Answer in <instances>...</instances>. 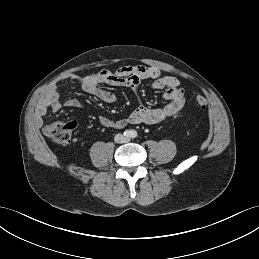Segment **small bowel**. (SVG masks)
I'll list each match as a JSON object with an SVG mask.
<instances>
[{"instance_id":"1","label":"small bowel","mask_w":259,"mask_h":259,"mask_svg":"<svg viewBox=\"0 0 259 259\" xmlns=\"http://www.w3.org/2000/svg\"><path fill=\"white\" fill-rule=\"evenodd\" d=\"M67 79L77 81L83 91L105 103L115 102L116 95L112 91L102 88V84L129 87L133 90L138 102L134 110L128 116L116 121L100 116L99 123L103 127L122 129L128 124L156 125L177 114L185 104V93L178 79L173 76L162 75L160 70L153 66L126 65L115 71L103 69L84 76L70 74L64 78V80ZM145 79L152 81L153 89L163 91V96L168 100V104L161 108L151 109L140 103V84ZM64 106L78 109L86 108L85 104L77 99H68L62 102L58 88H51L37 109L36 128L42 127L43 118L49 110L58 111Z\"/></svg>"}]
</instances>
